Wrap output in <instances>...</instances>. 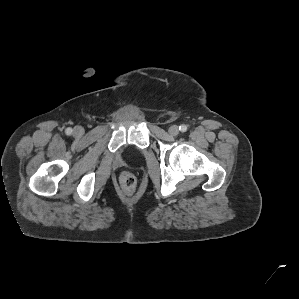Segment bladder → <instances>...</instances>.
I'll list each match as a JSON object with an SVG mask.
<instances>
[{"instance_id": "31cf9c89", "label": "bladder", "mask_w": 299, "mask_h": 299, "mask_svg": "<svg viewBox=\"0 0 299 299\" xmlns=\"http://www.w3.org/2000/svg\"><path fill=\"white\" fill-rule=\"evenodd\" d=\"M126 154L129 158H136L138 157L139 153L136 151V150H133V149H128L126 151Z\"/></svg>"}]
</instances>
